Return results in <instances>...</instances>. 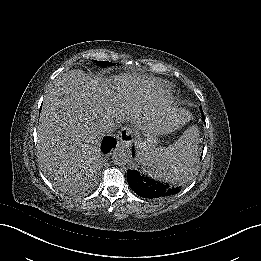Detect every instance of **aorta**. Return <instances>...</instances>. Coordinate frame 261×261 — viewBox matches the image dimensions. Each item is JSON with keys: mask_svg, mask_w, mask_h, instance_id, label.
I'll list each match as a JSON object with an SVG mask.
<instances>
[{"mask_svg": "<svg viewBox=\"0 0 261 261\" xmlns=\"http://www.w3.org/2000/svg\"><path fill=\"white\" fill-rule=\"evenodd\" d=\"M112 159L117 165L120 166L129 165L131 161L129 154L121 146L114 149Z\"/></svg>", "mask_w": 261, "mask_h": 261, "instance_id": "obj_1", "label": "aorta"}]
</instances>
